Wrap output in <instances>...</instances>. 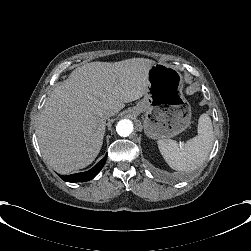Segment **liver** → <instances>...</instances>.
Masks as SVG:
<instances>
[{
  "label": "liver",
  "mask_w": 251,
  "mask_h": 251,
  "mask_svg": "<svg viewBox=\"0 0 251 251\" xmlns=\"http://www.w3.org/2000/svg\"><path fill=\"white\" fill-rule=\"evenodd\" d=\"M154 61L131 58L91 62L57 85L38 118V143L45 160L60 174L91 164L103 144L106 120L148 92Z\"/></svg>",
  "instance_id": "1"
}]
</instances>
